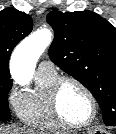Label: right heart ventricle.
I'll return each mask as SVG.
<instances>
[{"label":"right heart ventricle","instance_id":"1","mask_svg":"<svg viewBox=\"0 0 116 134\" xmlns=\"http://www.w3.org/2000/svg\"><path fill=\"white\" fill-rule=\"evenodd\" d=\"M56 72L36 73L38 88L25 93L17 109L20 119L26 124L42 130H58L62 124L54 116L49 92L52 84L58 78Z\"/></svg>","mask_w":116,"mask_h":134}]
</instances>
